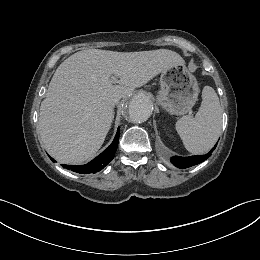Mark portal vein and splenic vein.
<instances>
[{
    "mask_svg": "<svg viewBox=\"0 0 260 260\" xmlns=\"http://www.w3.org/2000/svg\"><path fill=\"white\" fill-rule=\"evenodd\" d=\"M116 82H117L116 80L110 81L111 84H115Z\"/></svg>",
    "mask_w": 260,
    "mask_h": 260,
    "instance_id": "portal-vein-and-splenic-vein-1",
    "label": "portal vein and splenic vein"
}]
</instances>
